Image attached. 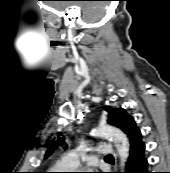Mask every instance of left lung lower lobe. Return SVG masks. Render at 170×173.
Segmentation results:
<instances>
[{
	"instance_id": "left-lung-lower-lobe-1",
	"label": "left lung lower lobe",
	"mask_w": 170,
	"mask_h": 173,
	"mask_svg": "<svg viewBox=\"0 0 170 173\" xmlns=\"http://www.w3.org/2000/svg\"><path fill=\"white\" fill-rule=\"evenodd\" d=\"M124 173H149L144 142L141 141L130 149L126 172Z\"/></svg>"
}]
</instances>
